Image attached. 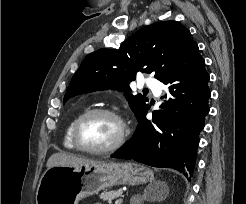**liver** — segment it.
Instances as JSON below:
<instances>
[{
	"mask_svg": "<svg viewBox=\"0 0 246 204\" xmlns=\"http://www.w3.org/2000/svg\"><path fill=\"white\" fill-rule=\"evenodd\" d=\"M103 163L101 161H94L82 157H77L75 155L67 154V153H54L48 159L46 166L47 168H51L54 166H74L80 164H96Z\"/></svg>",
	"mask_w": 246,
	"mask_h": 204,
	"instance_id": "liver-1",
	"label": "liver"
}]
</instances>
